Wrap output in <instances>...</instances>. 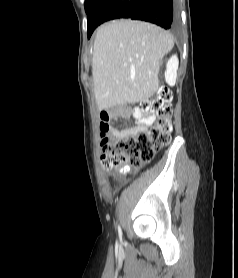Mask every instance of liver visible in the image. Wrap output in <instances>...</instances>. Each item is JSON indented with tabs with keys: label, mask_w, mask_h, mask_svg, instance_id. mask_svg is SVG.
<instances>
[{
	"label": "liver",
	"mask_w": 238,
	"mask_h": 278,
	"mask_svg": "<svg viewBox=\"0 0 238 278\" xmlns=\"http://www.w3.org/2000/svg\"><path fill=\"white\" fill-rule=\"evenodd\" d=\"M174 39L143 21L115 20L96 32L92 57L94 95L99 110L146 102L159 88V67Z\"/></svg>",
	"instance_id": "liver-1"
}]
</instances>
